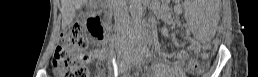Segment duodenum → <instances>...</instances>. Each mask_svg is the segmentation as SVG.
Masks as SVG:
<instances>
[{"mask_svg":"<svg viewBox=\"0 0 258 77\" xmlns=\"http://www.w3.org/2000/svg\"><path fill=\"white\" fill-rule=\"evenodd\" d=\"M88 27H89V32L91 33L92 36H97L101 34V27L99 25L98 18L92 21H89Z\"/></svg>","mask_w":258,"mask_h":77,"instance_id":"1","label":"duodenum"}]
</instances>
